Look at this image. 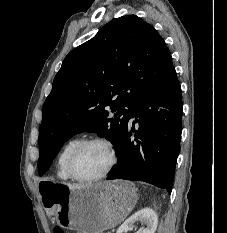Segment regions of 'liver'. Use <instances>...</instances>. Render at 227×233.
Masks as SVG:
<instances>
[{"label": "liver", "instance_id": "obj_1", "mask_svg": "<svg viewBox=\"0 0 227 233\" xmlns=\"http://www.w3.org/2000/svg\"><path fill=\"white\" fill-rule=\"evenodd\" d=\"M69 187H72V188H78L80 186H77V185H68Z\"/></svg>", "mask_w": 227, "mask_h": 233}]
</instances>
